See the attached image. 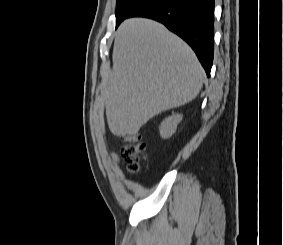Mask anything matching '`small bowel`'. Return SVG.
Instances as JSON below:
<instances>
[{
	"mask_svg": "<svg viewBox=\"0 0 283 245\" xmlns=\"http://www.w3.org/2000/svg\"><path fill=\"white\" fill-rule=\"evenodd\" d=\"M112 159H113V161H114V162H116V163H117V162H118V160H119V157H118V155H117V154H113V155H112Z\"/></svg>",
	"mask_w": 283,
	"mask_h": 245,
	"instance_id": "obj_1",
	"label": "small bowel"
}]
</instances>
